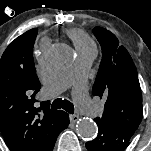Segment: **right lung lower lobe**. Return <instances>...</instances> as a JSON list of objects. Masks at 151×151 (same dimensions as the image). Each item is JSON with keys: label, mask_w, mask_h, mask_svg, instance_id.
Wrapping results in <instances>:
<instances>
[{"label": "right lung lower lobe", "mask_w": 151, "mask_h": 151, "mask_svg": "<svg viewBox=\"0 0 151 151\" xmlns=\"http://www.w3.org/2000/svg\"><path fill=\"white\" fill-rule=\"evenodd\" d=\"M60 112L61 113L57 122V135H59L62 130L67 128L69 124V115L62 110H60Z\"/></svg>", "instance_id": "98d812e1"}]
</instances>
